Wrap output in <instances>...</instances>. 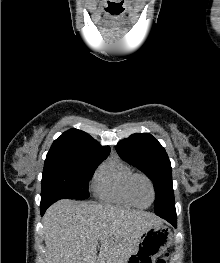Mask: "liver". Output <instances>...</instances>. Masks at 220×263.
<instances>
[{
  "mask_svg": "<svg viewBox=\"0 0 220 263\" xmlns=\"http://www.w3.org/2000/svg\"><path fill=\"white\" fill-rule=\"evenodd\" d=\"M160 223L153 213L142 210L62 199L43 217L46 259L48 263H125L142 234Z\"/></svg>",
  "mask_w": 220,
  "mask_h": 263,
  "instance_id": "6515ba94",
  "label": "liver"
}]
</instances>
